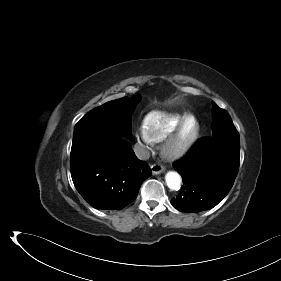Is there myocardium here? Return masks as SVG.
Segmentation results:
<instances>
[{"label": "myocardium", "instance_id": "myocardium-1", "mask_svg": "<svg viewBox=\"0 0 281 281\" xmlns=\"http://www.w3.org/2000/svg\"><path fill=\"white\" fill-rule=\"evenodd\" d=\"M194 120L195 129L188 138L182 137V131L188 120ZM201 133L199 119L193 115L185 116L174 130L164 139L162 146L163 154L170 160H177L184 157L194 147Z\"/></svg>", "mask_w": 281, "mask_h": 281}]
</instances>
